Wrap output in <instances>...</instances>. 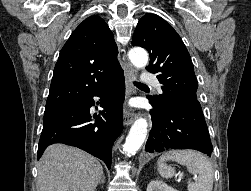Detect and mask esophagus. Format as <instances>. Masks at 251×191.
Instances as JSON below:
<instances>
[{"label":"esophagus","instance_id":"34e87169","mask_svg":"<svg viewBox=\"0 0 251 191\" xmlns=\"http://www.w3.org/2000/svg\"><path fill=\"white\" fill-rule=\"evenodd\" d=\"M137 77V72L136 70L132 67V65H130L129 63H127V71H126V80H127V97L131 96L132 93L134 92L133 89V81H135ZM137 118V113L132 111V110H128L125 109L124 111V125L128 126L131 125Z\"/></svg>","mask_w":251,"mask_h":191}]
</instances>
